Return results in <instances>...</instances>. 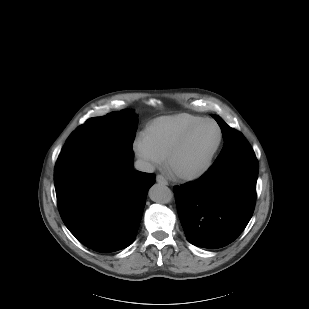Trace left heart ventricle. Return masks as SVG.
Returning a JSON list of instances; mask_svg holds the SVG:
<instances>
[{"mask_svg": "<svg viewBox=\"0 0 309 309\" xmlns=\"http://www.w3.org/2000/svg\"><path fill=\"white\" fill-rule=\"evenodd\" d=\"M218 136V129L213 123H205L200 126L176 155L173 168L184 172L201 168L214 149Z\"/></svg>", "mask_w": 309, "mask_h": 309, "instance_id": "left-heart-ventricle-1", "label": "left heart ventricle"}]
</instances>
